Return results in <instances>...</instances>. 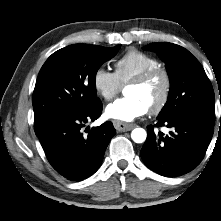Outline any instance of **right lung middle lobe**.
Segmentation results:
<instances>
[{
  "instance_id": "right-lung-middle-lobe-1",
  "label": "right lung middle lobe",
  "mask_w": 221,
  "mask_h": 221,
  "mask_svg": "<svg viewBox=\"0 0 221 221\" xmlns=\"http://www.w3.org/2000/svg\"><path fill=\"white\" fill-rule=\"evenodd\" d=\"M120 48L74 44L53 53L42 66L33 92L35 132L57 117L84 112L100 103L95 77Z\"/></svg>"
}]
</instances>
